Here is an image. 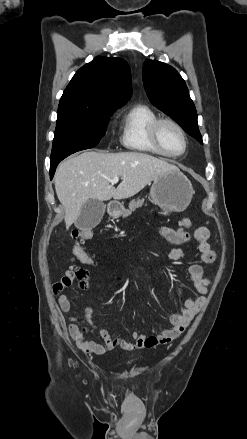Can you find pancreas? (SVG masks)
I'll list each match as a JSON object with an SVG mask.
<instances>
[{
    "label": "pancreas",
    "mask_w": 247,
    "mask_h": 439,
    "mask_svg": "<svg viewBox=\"0 0 247 439\" xmlns=\"http://www.w3.org/2000/svg\"><path fill=\"white\" fill-rule=\"evenodd\" d=\"M144 204V199H137V200H132L129 203V208L125 209L123 211V217H127L129 216L133 211H135L137 208L142 207V205Z\"/></svg>",
    "instance_id": "cf45deb5"
}]
</instances>
